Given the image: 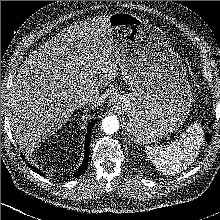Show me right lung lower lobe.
Masks as SVG:
<instances>
[{"mask_svg": "<svg viewBox=\"0 0 220 220\" xmlns=\"http://www.w3.org/2000/svg\"><path fill=\"white\" fill-rule=\"evenodd\" d=\"M95 120H91V122H89V125L87 127V133H86V138H85V157H84V161L82 166L78 169V171L73 175V177H77L80 176L87 168L88 166V159H89V144H90V136H91V132H92V128L95 125ZM24 157V156H22ZM27 165L34 169L35 172L39 173L40 175L44 176L43 172H41L38 168L33 167L32 165H30L29 163H27Z\"/></svg>", "mask_w": 220, "mask_h": 220, "instance_id": "1", "label": "right lung lower lobe"}]
</instances>
